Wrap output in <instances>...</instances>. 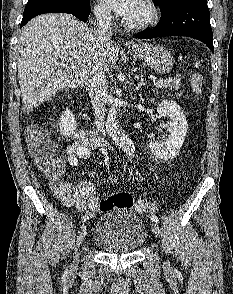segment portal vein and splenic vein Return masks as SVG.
I'll return each mask as SVG.
<instances>
[{
    "instance_id": "portal-vein-and-splenic-vein-1",
    "label": "portal vein and splenic vein",
    "mask_w": 233,
    "mask_h": 294,
    "mask_svg": "<svg viewBox=\"0 0 233 294\" xmlns=\"http://www.w3.org/2000/svg\"><path fill=\"white\" fill-rule=\"evenodd\" d=\"M59 65H60L61 67L66 68V69H73V70L76 69V67H74V66L70 67V66H68V64H64V63H60ZM149 79L155 81L157 78H156L155 76H152V75H151V76H149Z\"/></svg>"
}]
</instances>
